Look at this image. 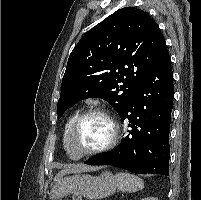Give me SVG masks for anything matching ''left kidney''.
<instances>
[{
  "label": "left kidney",
  "mask_w": 201,
  "mask_h": 200,
  "mask_svg": "<svg viewBox=\"0 0 201 200\" xmlns=\"http://www.w3.org/2000/svg\"><path fill=\"white\" fill-rule=\"evenodd\" d=\"M141 200H158V199L155 198V197H149V198H144V199H141Z\"/></svg>",
  "instance_id": "5707ae66"
}]
</instances>
